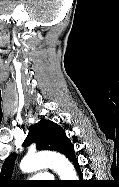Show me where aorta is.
<instances>
[{
  "instance_id": "aorta-1",
  "label": "aorta",
  "mask_w": 119,
  "mask_h": 187,
  "mask_svg": "<svg viewBox=\"0 0 119 187\" xmlns=\"http://www.w3.org/2000/svg\"><path fill=\"white\" fill-rule=\"evenodd\" d=\"M52 167L61 180H77L76 171L69 160L56 152H39L24 157L20 163L23 172H33L40 168Z\"/></svg>"
}]
</instances>
